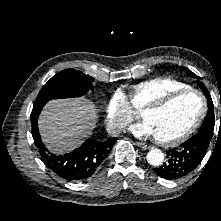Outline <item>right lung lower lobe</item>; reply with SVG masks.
Wrapping results in <instances>:
<instances>
[{"mask_svg": "<svg viewBox=\"0 0 221 221\" xmlns=\"http://www.w3.org/2000/svg\"><path fill=\"white\" fill-rule=\"evenodd\" d=\"M48 101H35L31 113L32 136L45 165L66 181H79L90 177L108 156L117 138L104 141L88 139L72 153L59 156L50 153L41 141L37 124L39 114Z\"/></svg>", "mask_w": 221, "mask_h": 221, "instance_id": "98d812e1", "label": "right lung lower lobe"}]
</instances>
